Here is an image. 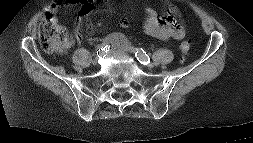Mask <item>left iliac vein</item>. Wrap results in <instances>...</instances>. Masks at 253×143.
<instances>
[{
    "mask_svg": "<svg viewBox=\"0 0 253 143\" xmlns=\"http://www.w3.org/2000/svg\"><path fill=\"white\" fill-rule=\"evenodd\" d=\"M133 51H134V50H133ZM148 67H149V68H152V67H153V64H152V63H149V64H148Z\"/></svg>",
    "mask_w": 253,
    "mask_h": 143,
    "instance_id": "1",
    "label": "left iliac vein"
}]
</instances>
